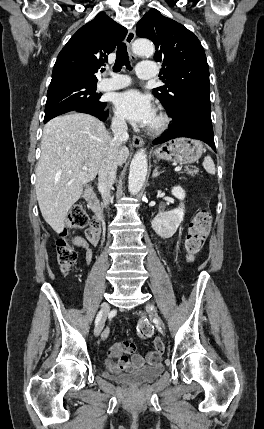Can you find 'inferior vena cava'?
<instances>
[{"instance_id":"1","label":"inferior vena cava","mask_w":264,"mask_h":429,"mask_svg":"<svg viewBox=\"0 0 264 429\" xmlns=\"http://www.w3.org/2000/svg\"><path fill=\"white\" fill-rule=\"evenodd\" d=\"M111 129L114 134V138L110 142V150L102 160L98 172V186L105 207L112 202L111 188L116 180L118 165L116 161L117 149L129 138L127 132L128 128L124 118H113Z\"/></svg>"}]
</instances>
